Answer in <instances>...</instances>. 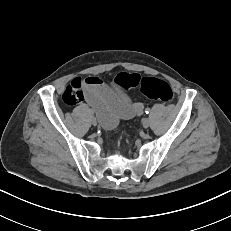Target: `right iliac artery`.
I'll return each mask as SVG.
<instances>
[{
  "label": "right iliac artery",
  "mask_w": 231,
  "mask_h": 231,
  "mask_svg": "<svg viewBox=\"0 0 231 231\" xmlns=\"http://www.w3.org/2000/svg\"><path fill=\"white\" fill-rule=\"evenodd\" d=\"M90 114L93 115L94 114V111L90 109Z\"/></svg>",
  "instance_id": "obj_1"
}]
</instances>
